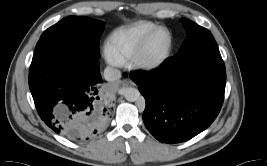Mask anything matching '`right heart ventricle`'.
Listing matches in <instances>:
<instances>
[{
  "instance_id": "e07e8e85",
  "label": "right heart ventricle",
  "mask_w": 267,
  "mask_h": 166,
  "mask_svg": "<svg viewBox=\"0 0 267 166\" xmlns=\"http://www.w3.org/2000/svg\"><path fill=\"white\" fill-rule=\"evenodd\" d=\"M158 27L150 21H138L128 26L116 28L109 37L111 49L121 61L129 58L146 36Z\"/></svg>"
}]
</instances>
